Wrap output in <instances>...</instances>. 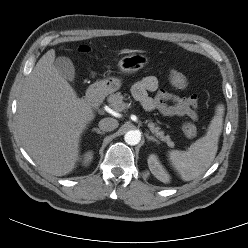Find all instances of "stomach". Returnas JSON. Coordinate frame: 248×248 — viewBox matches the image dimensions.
Wrapping results in <instances>:
<instances>
[{"label":"stomach","instance_id":"obj_1","mask_svg":"<svg viewBox=\"0 0 248 248\" xmlns=\"http://www.w3.org/2000/svg\"><path fill=\"white\" fill-rule=\"evenodd\" d=\"M148 63V58L140 54H132L121 58L118 62L119 70L124 74H131L142 69ZM121 79L109 77L98 83L101 91L111 93L119 90Z\"/></svg>","mask_w":248,"mask_h":248}]
</instances>
